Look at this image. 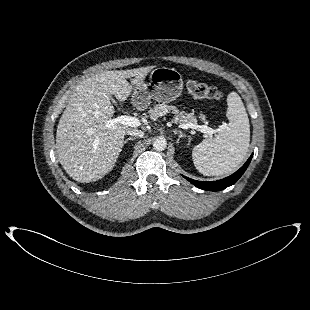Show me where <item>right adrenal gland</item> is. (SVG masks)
I'll use <instances>...</instances> for the list:
<instances>
[{
  "mask_svg": "<svg viewBox=\"0 0 310 310\" xmlns=\"http://www.w3.org/2000/svg\"><path fill=\"white\" fill-rule=\"evenodd\" d=\"M136 138L134 137V138H132V137H129L128 139H125V141H124V144H126L128 141H130V140H135Z\"/></svg>",
  "mask_w": 310,
  "mask_h": 310,
  "instance_id": "2a0ac1e0",
  "label": "right adrenal gland"
}]
</instances>
